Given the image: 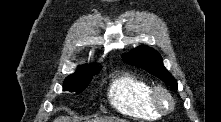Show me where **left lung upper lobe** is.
Returning <instances> with one entry per match:
<instances>
[{
  "label": "left lung upper lobe",
  "instance_id": "1",
  "mask_svg": "<svg viewBox=\"0 0 221 122\" xmlns=\"http://www.w3.org/2000/svg\"><path fill=\"white\" fill-rule=\"evenodd\" d=\"M123 60L131 65L147 70L172 88L177 89V82L163 66L160 54L150 47L140 46L135 48L129 54L124 55Z\"/></svg>",
  "mask_w": 221,
  "mask_h": 122
}]
</instances>
